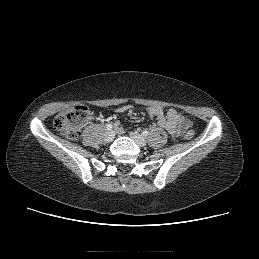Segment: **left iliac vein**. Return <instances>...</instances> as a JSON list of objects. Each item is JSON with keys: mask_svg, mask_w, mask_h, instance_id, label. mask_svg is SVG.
I'll use <instances>...</instances> for the list:
<instances>
[{"mask_svg": "<svg viewBox=\"0 0 259 259\" xmlns=\"http://www.w3.org/2000/svg\"><path fill=\"white\" fill-rule=\"evenodd\" d=\"M130 137L140 147H144L147 144L146 139L142 135H140L136 132H130Z\"/></svg>", "mask_w": 259, "mask_h": 259, "instance_id": "obj_1", "label": "left iliac vein"}]
</instances>
